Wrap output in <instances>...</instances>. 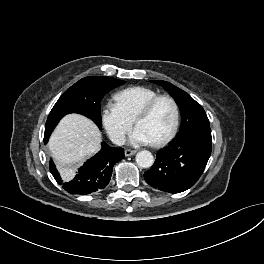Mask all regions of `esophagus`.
Masks as SVG:
<instances>
[{"label": "esophagus", "instance_id": "34e87169", "mask_svg": "<svg viewBox=\"0 0 264 264\" xmlns=\"http://www.w3.org/2000/svg\"><path fill=\"white\" fill-rule=\"evenodd\" d=\"M136 150L127 149L125 150V156H132L136 153Z\"/></svg>", "mask_w": 264, "mask_h": 264}]
</instances>
